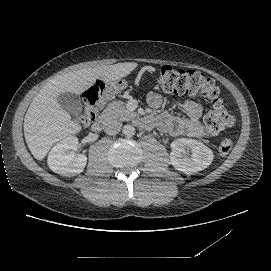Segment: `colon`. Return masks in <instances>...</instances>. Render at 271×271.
Masks as SVG:
<instances>
[{"mask_svg": "<svg viewBox=\"0 0 271 271\" xmlns=\"http://www.w3.org/2000/svg\"><path fill=\"white\" fill-rule=\"evenodd\" d=\"M125 81L106 83L97 80L90 87L83 103L82 114L79 118L83 125H89L99 108L104 106L112 94L125 88ZM157 86L166 93L189 96H203L211 102V109L203 120V130L209 137L216 136L234 124V118L230 115L219 98V88L215 82L199 71L174 69L170 66H163L157 77ZM233 147L230 138L221 140L218 146L220 155H227Z\"/></svg>", "mask_w": 271, "mask_h": 271, "instance_id": "obj_1", "label": "colon"}]
</instances>
